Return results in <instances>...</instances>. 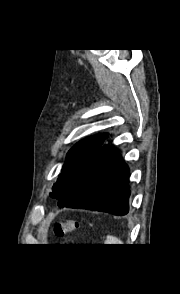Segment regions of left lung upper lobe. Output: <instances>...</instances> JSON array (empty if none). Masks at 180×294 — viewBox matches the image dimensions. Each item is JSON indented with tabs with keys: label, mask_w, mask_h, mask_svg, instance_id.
I'll return each mask as SVG.
<instances>
[{
	"label": "left lung upper lobe",
	"mask_w": 180,
	"mask_h": 294,
	"mask_svg": "<svg viewBox=\"0 0 180 294\" xmlns=\"http://www.w3.org/2000/svg\"><path fill=\"white\" fill-rule=\"evenodd\" d=\"M107 137V133L87 137L69 150L62 172L52 187L50 197L61 200L67 195L74 181L95 157Z\"/></svg>",
	"instance_id": "5c2ea615"
}]
</instances>
